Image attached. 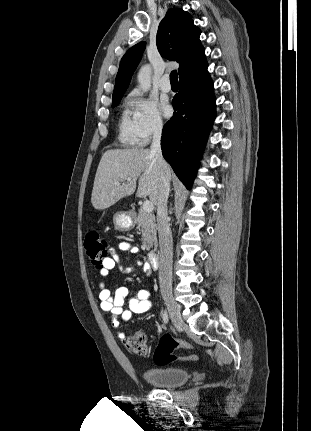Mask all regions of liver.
<instances>
[{
    "label": "liver",
    "instance_id": "liver-1",
    "mask_svg": "<svg viewBox=\"0 0 311 431\" xmlns=\"http://www.w3.org/2000/svg\"><path fill=\"white\" fill-rule=\"evenodd\" d=\"M163 170L170 182L172 172L167 162H164ZM137 180L139 186L136 192ZM159 180V164L150 150H141V148L107 150L95 174L91 204L95 210H106L122 198L132 196L136 192L137 198L148 196L150 202L156 206Z\"/></svg>",
    "mask_w": 311,
    "mask_h": 431
}]
</instances>
